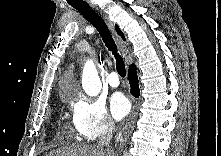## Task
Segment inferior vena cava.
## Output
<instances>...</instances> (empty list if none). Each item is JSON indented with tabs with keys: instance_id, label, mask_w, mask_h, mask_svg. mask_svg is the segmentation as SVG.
Segmentation results:
<instances>
[{
	"instance_id": "inferior-vena-cava-1",
	"label": "inferior vena cava",
	"mask_w": 221,
	"mask_h": 156,
	"mask_svg": "<svg viewBox=\"0 0 221 156\" xmlns=\"http://www.w3.org/2000/svg\"><path fill=\"white\" fill-rule=\"evenodd\" d=\"M113 131H114V123L112 120H109L102 132V135L100 139L97 141V146L99 147H107L109 149L110 145L109 142L112 139L113 136Z\"/></svg>"
}]
</instances>
